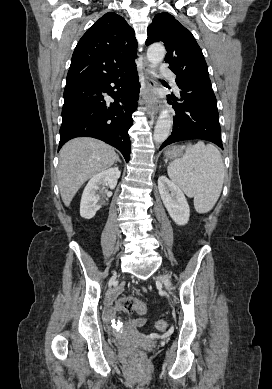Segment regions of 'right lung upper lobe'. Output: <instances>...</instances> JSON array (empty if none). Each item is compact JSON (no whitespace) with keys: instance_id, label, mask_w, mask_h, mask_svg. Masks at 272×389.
<instances>
[{"instance_id":"1","label":"right lung upper lobe","mask_w":272,"mask_h":389,"mask_svg":"<svg viewBox=\"0 0 272 389\" xmlns=\"http://www.w3.org/2000/svg\"><path fill=\"white\" fill-rule=\"evenodd\" d=\"M137 41L125 19L108 12L79 40L66 82L101 77L134 62Z\"/></svg>"}]
</instances>
